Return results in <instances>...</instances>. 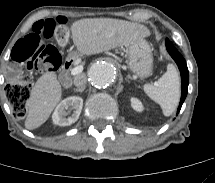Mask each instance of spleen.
Instances as JSON below:
<instances>
[{"label":"spleen","mask_w":215,"mask_h":183,"mask_svg":"<svg viewBox=\"0 0 215 183\" xmlns=\"http://www.w3.org/2000/svg\"><path fill=\"white\" fill-rule=\"evenodd\" d=\"M145 93L158 103L165 116H170L178 106L180 99V78L173 64L156 82L144 85Z\"/></svg>","instance_id":"obj_1"}]
</instances>
